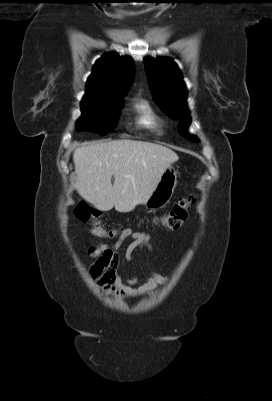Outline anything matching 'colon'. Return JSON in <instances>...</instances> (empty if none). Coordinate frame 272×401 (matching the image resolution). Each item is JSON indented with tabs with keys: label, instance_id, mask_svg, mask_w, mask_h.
<instances>
[{
	"label": "colon",
	"instance_id": "5ec220e1",
	"mask_svg": "<svg viewBox=\"0 0 272 401\" xmlns=\"http://www.w3.org/2000/svg\"><path fill=\"white\" fill-rule=\"evenodd\" d=\"M192 202L193 200L191 198L182 199L161 217L162 225L168 229H179L188 217ZM75 215L80 222L91 226L94 236L98 238H109L114 235L113 231L107 230L101 225V212L98 209L86 203H81L76 208Z\"/></svg>",
	"mask_w": 272,
	"mask_h": 401
}]
</instances>
